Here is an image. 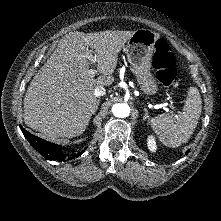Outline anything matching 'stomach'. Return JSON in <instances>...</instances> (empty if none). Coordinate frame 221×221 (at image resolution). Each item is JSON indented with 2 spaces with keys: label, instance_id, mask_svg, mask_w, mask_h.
Segmentation results:
<instances>
[{
  "label": "stomach",
  "instance_id": "0dacf381",
  "mask_svg": "<svg viewBox=\"0 0 221 221\" xmlns=\"http://www.w3.org/2000/svg\"><path fill=\"white\" fill-rule=\"evenodd\" d=\"M159 35L149 29L134 32L126 46L127 59L132 66L137 81L147 95L157 92L158 86L151 73L152 58Z\"/></svg>",
  "mask_w": 221,
  "mask_h": 221
}]
</instances>
